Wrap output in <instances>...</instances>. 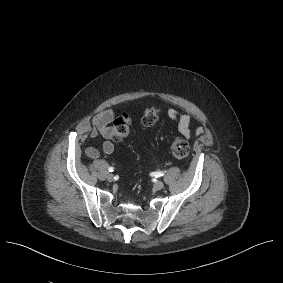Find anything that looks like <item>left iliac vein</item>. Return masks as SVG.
I'll list each match as a JSON object with an SVG mask.
<instances>
[{
  "label": "left iliac vein",
  "mask_w": 283,
  "mask_h": 283,
  "mask_svg": "<svg viewBox=\"0 0 283 283\" xmlns=\"http://www.w3.org/2000/svg\"><path fill=\"white\" fill-rule=\"evenodd\" d=\"M163 187H164V182H162V181H157V182L154 184V189H155V190H161Z\"/></svg>",
  "instance_id": "4c4485c4"
}]
</instances>
